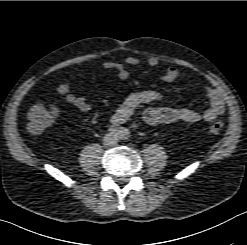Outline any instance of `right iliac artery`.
<instances>
[{
    "mask_svg": "<svg viewBox=\"0 0 247 245\" xmlns=\"http://www.w3.org/2000/svg\"><path fill=\"white\" fill-rule=\"evenodd\" d=\"M108 131L114 135H119L122 132L120 128H116L115 126H110Z\"/></svg>",
    "mask_w": 247,
    "mask_h": 245,
    "instance_id": "right-iliac-artery-1",
    "label": "right iliac artery"
}]
</instances>
